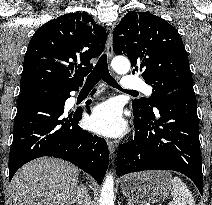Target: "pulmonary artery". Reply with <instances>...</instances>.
<instances>
[{
	"mask_svg": "<svg viewBox=\"0 0 212 205\" xmlns=\"http://www.w3.org/2000/svg\"><path fill=\"white\" fill-rule=\"evenodd\" d=\"M122 88L124 90L136 91L141 90L146 95L150 96L152 94V89L147 85L143 80L133 77V76H124L122 79Z\"/></svg>",
	"mask_w": 212,
	"mask_h": 205,
	"instance_id": "pulmonary-artery-1",
	"label": "pulmonary artery"
}]
</instances>
